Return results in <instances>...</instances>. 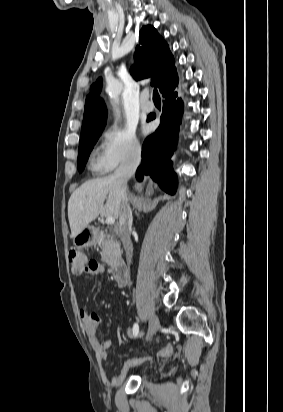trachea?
<instances>
[{
    "label": "trachea",
    "mask_w": 283,
    "mask_h": 412,
    "mask_svg": "<svg viewBox=\"0 0 283 412\" xmlns=\"http://www.w3.org/2000/svg\"><path fill=\"white\" fill-rule=\"evenodd\" d=\"M153 101L154 102H160L161 101L159 93H158L156 88L153 90Z\"/></svg>",
    "instance_id": "3493384b"
}]
</instances>
